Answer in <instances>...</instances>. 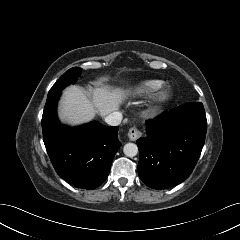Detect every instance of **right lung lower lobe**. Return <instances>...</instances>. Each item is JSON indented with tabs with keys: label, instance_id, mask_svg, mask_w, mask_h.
Wrapping results in <instances>:
<instances>
[{
	"label": "right lung lower lobe",
	"instance_id": "obj_1",
	"mask_svg": "<svg viewBox=\"0 0 240 240\" xmlns=\"http://www.w3.org/2000/svg\"><path fill=\"white\" fill-rule=\"evenodd\" d=\"M61 91L47 96L42 116L43 141L58 175L72 186L95 189L108 177L121 146L118 128L93 121L68 128L59 123L56 107Z\"/></svg>",
	"mask_w": 240,
	"mask_h": 240
}]
</instances>
